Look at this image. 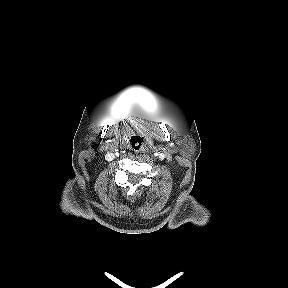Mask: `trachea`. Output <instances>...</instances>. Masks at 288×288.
Segmentation results:
<instances>
[{"label":"trachea","instance_id":"trachea-1","mask_svg":"<svg viewBox=\"0 0 288 288\" xmlns=\"http://www.w3.org/2000/svg\"><path fill=\"white\" fill-rule=\"evenodd\" d=\"M130 143L135 151H139L143 145L142 139H138L136 136L131 138Z\"/></svg>","mask_w":288,"mask_h":288}]
</instances>
